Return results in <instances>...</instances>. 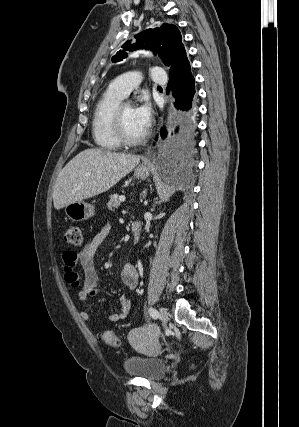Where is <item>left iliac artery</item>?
<instances>
[{"mask_svg": "<svg viewBox=\"0 0 299 427\" xmlns=\"http://www.w3.org/2000/svg\"><path fill=\"white\" fill-rule=\"evenodd\" d=\"M149 314L154 319H157L158 316H159L158 311L156 309H154V308H150L149 309Z\"/></svg>", "mask_w": 299, "mask_h": 427, "instance_id": "44dca946", "label": "left iliac artery"}]
</instances>
